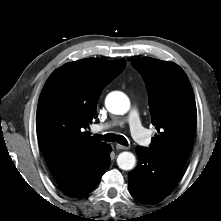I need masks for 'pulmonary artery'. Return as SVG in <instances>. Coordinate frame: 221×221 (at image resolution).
<instances>
[{"instance_id": "obj_1", "label": "pulmonary artery", "mask_w": 221, "mask_h": 221, "mask_svg": "<svg viewBox=\"0 0 221 221\" xmlns=\"http://www.w3.org/2000/svg\"><path fill=\"white\" fill-rule=\"evenodd\" d=\"M129 127H130V132L133 136V138L140 144H146L148 141V135L146 129L143 127L139 113L138 111L134 108L130 112L128 118H127ZM119 122H113V123H104L100 126L102 129H108L113 125H116Z\"/></svg>"}]
</instances>
